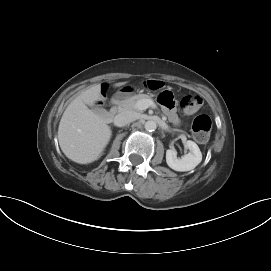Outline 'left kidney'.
Instances as JSON below:
<instances>
[{"mask_svg": "<svg viewBox=\"0 0 271 271\" xmlns=\"http://www.w3.org/2000/svg\"><path fill=\"white\" fill-rule=\"evenodd\" d=\"M185 146L190 152L182 158L177 157V151L175 149H168L166 151V162L171 169L180 172L190 171L201 162L202 153L198 145L191 140H187L185 141Z\"/></svg>", "mask_w": 271, "mask_h": 271, "instance_id": "left-kidney-1", "label": "left kidney"}]
</instances>
